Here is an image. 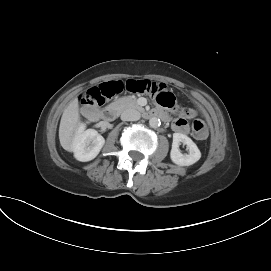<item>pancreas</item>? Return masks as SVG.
Here are the masks:
<instances>
[{
	"mask_svg": "<svg viewBox=\"0 0 271 271\" xmlns=\"http://www.w3.org/2000/svg\"><path fill=\"white\" fill-rule=\"evenodd\" d=\"M111 106L117 108L118 111H124L126 109H137L143 111L144 109L138 105L137 100L133 97H122L111 104Z\"/></svg>",
	"mask_w": 271,
	"mask_h": 271,
	"instance_id": "obj_1",
	"label": "pancreas"
}]
</instances>
